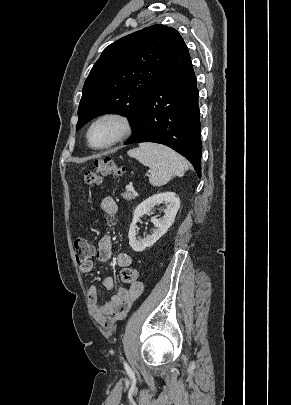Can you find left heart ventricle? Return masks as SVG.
Masks as SVG:
<instances>
[{"label": "left heart ventricle", "instance_id": "b2bd125f", "mask_svg": "<svg viewBox=\"0 0 291 405\" xmlns=\"http://www.w3.org/2000/svg\"><path fill=\"white\" fill-rule=\"evenodd\" d=\"M117 125L112 121H103L97 124L91 131L90 141L94 146L108 143L117 133Z\"/></svg>", "mask_w": 291, "mask_h": 405}]
</instances>
